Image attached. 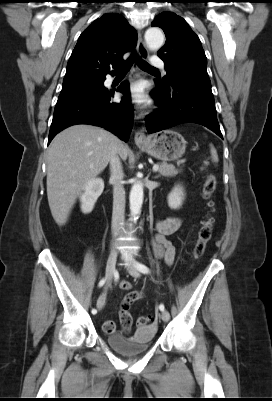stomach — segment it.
Wrapping results in <instances>:
<instances>
[{
    "instance_id": "stomach-1",
    "label": "stomach",
    "mask_w": 272,
    "mask_h": 401,
    "mask_svg": "<svg viewBox=\"0 0 272 401\" xmlns=\"http://www.w3.org/2000/svg\"><path fill=\"white\" fill-rule=\"evenodd\" d=\"M187 141L174 130H164L149 137L148 141L140 145L152 157L166 161L180 158L186 149Z\"/></svg>"
}]
</instances>
